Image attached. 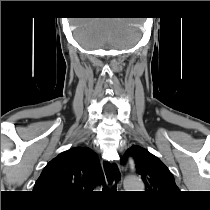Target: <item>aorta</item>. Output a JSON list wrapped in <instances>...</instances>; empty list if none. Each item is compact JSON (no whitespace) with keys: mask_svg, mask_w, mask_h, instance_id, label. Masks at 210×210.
Returning <instances> with one entry per match:
<instances>
[{"mask_svg":"<svg viewBox=\"0 0 210 210\" xmlns=\"http://www.w3.org/2000/svg\"><path fill=\"white\" fill-rule=\"evenodd\" d=\"M124 187L127 191H143L144 184L139 177L128 176L124 180Z\"/></svg>","mask_w":210,"mask_h":210,"instance_id":"obj_1","label":"aorta"}]
</instances>
